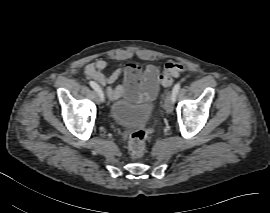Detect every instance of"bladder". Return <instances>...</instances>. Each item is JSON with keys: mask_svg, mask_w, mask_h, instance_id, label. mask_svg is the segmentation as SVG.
Returning a JSON list of instances; mask_svg holds the SVG:
<instances>
[{"mask_svg": "<svg viewBox=\"0 0 270 213\" xmlns=\"http://www.w3.org/2000/svg\"><path fill=\"white\" fill-rule=\"evenodd\" d=\"M151 111L149 103L135 105L127 97H122L108 106L107 114L116 126L137 129L150 121Z\"/></svg>", "mask_w": 270, "mask_h": 213, "instance_id": "bladder-1", "label": "bladder"}]
</instances>
